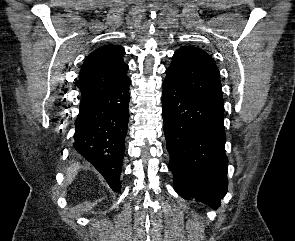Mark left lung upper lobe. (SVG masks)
Wrapping results in <instances>:
<instances>
[{"label": "left lung upper lobe", "instance_id": "5c2ea615", "mask_svg": "<svg viewBox=\"0 0 295 241\" xmlns=\"http://www.w3.org/2000/svg\"><path fill=\"white\" fill-rule=\"evenodd\" d=\"M166 71L194 94L224 105L220 73L213 58L205 51L195 47L179 48Z\"/></svg>", "mask_w": 295, "mask_h": 241}]
</instances>
